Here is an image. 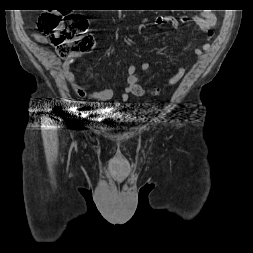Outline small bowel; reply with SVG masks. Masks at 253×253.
<instances>
[{
  "mask_svg": "<svg viewBox=\"0 0 253 253\" xmlns=\"http://www.w3.org/2000/svg\"><path fill=\"white\" fill-rule=\"evenodd\" d=\"M193 19L204 33L206 42L203 44L202 49L204 51H207L210 49L209 42L214 38L213 27L216 21L215 16L213 13H211V11H204L200 15H194ZM180 22L185 25L190 24V20L185 15L180 16L179 19H176L171 16H166L159 17L154 20V24L158 27H162L163 25L168 24L171 25L174 29L179 28ZM36 38L40 42L45 41V38L41 35H37ZM189 47L190 44H187L185 47H183V50H187ZM194 54L199 57L202 55V50L197 48L194 50ZM71 65V60H66L64 62V76L78 96L98 101H107L113 97V90L110 88L101 87L92 90L91 84L80 83L75 73L71 69ZM149 68L150 64L147 62H143L139 65V69L141 71H148ZM137 69L138 67L135 64H132L128 67L126 73V86L122 94L120 95V98L116 101V106H120L121 104L125 103L129 99L130 95L143 97L149 94L154 89V87L145 88L141 84V78L137 74ZM185 72L186 69L184 67L177 68L175 74L170 77L166 83L163 84V87L175 85L184 76Z\"/></svg>",
  "mask_w": 253,
  "mask_h": 253,
  "instance_id": "obj_1",
  "label": "small bowel"
}]
</instances>
